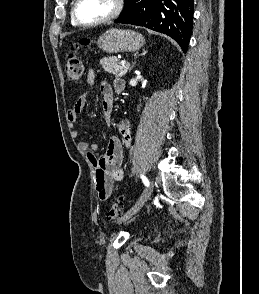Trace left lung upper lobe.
Returning <instances> with one entry per match:
<instances>
[{
	"mask_svg": "<svg viewBox=\"0 0 259 294\" xmlns=\"http://www.w3.org/2000/svg\"><path fill=\"white\" fill-rule=\"evenodd\" d=\"M133 1L134 0H125V8H124L122 14H125V13H127L128 11H130L132 9Z\"/></svg>",
	"mask_w": 259,
	"mask_h": 294,
	"instance_id": "obj_1",
	"label": "left lung upper lobe"
}]
</instances>
